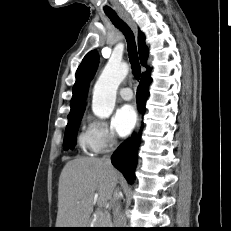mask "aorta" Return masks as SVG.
<instances>
[{"instance_id": "obj_1", "label": "aorta", "mask_w": 231, "mask_h": 231, "mask_svg": "<svg viewBox=\"0 0 231 231\" xmlns=\"http://www.w3.org/2000/svg\"><path fill=\"white\" fill-rule=\"evenodd\" d=\"M129 72L127 63L109 60L93 90L92 110L99 118H108L115 107L120 83Z\"/></svg>"}]
</instances>
